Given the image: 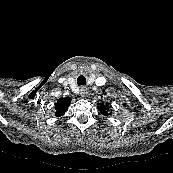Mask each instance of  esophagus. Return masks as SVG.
I'll return each mask as SVG.
<instances>
[{
  "label": "esophagus",
  "instance_id": "34e87169",
  "mask_svg": "<svg viewBox=\"0 0 173 173\" xmlns=\"http://www.w3.org/2000/svg\"><path fill=\"white\" fill-rule=\"evenodd\" d=\"M80 94H81V96H86L87 94H88V89L86 88V87H82L81 89H80Z\"/></svg>",
  "mask_w": 173,
  "mask_h": 173
}]
</instances>
